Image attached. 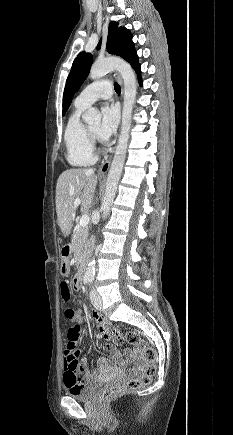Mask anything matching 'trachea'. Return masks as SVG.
Segmentation results:
<instances>
[{
    "label": "trachea",
    "mask_w": 233,
    "mask_h": 435,
    "mask_svg": "<svg viewBox=\"0 0 233 435\" xmlns=\"http://www.w3.org/2000/svg\"><path fill=\"white\" fill-rule=\"evenodd\" d=\"M114 89L117 93H120L121 91L120 85L118 83H114Z\"/></svg>",
    "instance_id": "obj_1"
}]
</instances>
